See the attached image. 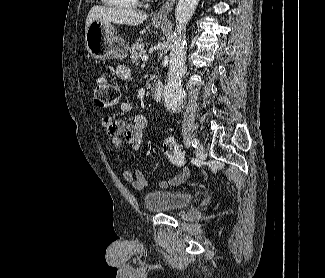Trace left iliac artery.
<instances>
[{
  "label": "left iliac artery",
  "mask_w": 325,
  "mask_h": 278,
  "mask_svg": "<svg viewBox=\"0 0 325 278\" xmlns=\"http://www.w3.org/2000/svg\"><path fill=\"white\" fill-rule=\"evenodd\" d=\"M198 143H199V141H198L197 139H194V140L192 141V146H193V147H196V146L198 145Z\"/></svg>",
  "instance_id": "left-iliac-artery-1"
}]
</instances>
